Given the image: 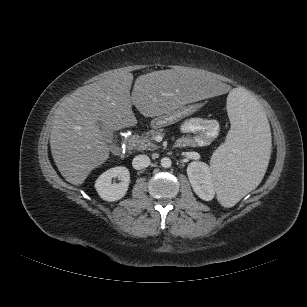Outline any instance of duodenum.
Returning a JSON list of instances; mask_svg holds the SVG:
<instances>
[{
	"label": "duodenum",
	"instance_id": "obj_1",
	"mask_svg": "<svg viewBox=\"0 0 307 307\" xmlns=\"http://www.w3.org/2000/svg\"><path fill=\"white\" fill-rule=\"evenodd\" d=\"M137 138L135 136H131L126 143V151H133L137 147ZM179 146H184L182 143H178Z\"/></svg>",
	"mask_w": 307,
	"mask_h": 307
}]
</instances>
